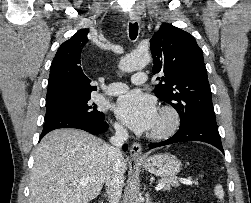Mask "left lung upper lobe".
Returning a JSON list of instances; mask_svg holds the SVG:
<instances>
[{"label": "left lung upper lobe", "mask_w": 251, "mask_h": 203, "mask_svg": "<svg viewBox=\"0 0 251 203\" xmlns=\"http://www.w3.org/2000/svg\"><path fill=\"white\" fill-rule=\"evenodd\" d=\"M150 46L153 74L164 73L157 78L155 95L177 110L180 127L195 121L217 125L203 52L194 37L163 23L151 38Z\"/></svg>", "instance_id": "obj_1"}]
</instances>
